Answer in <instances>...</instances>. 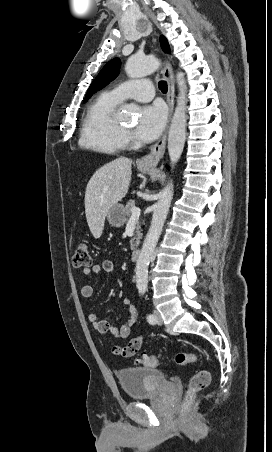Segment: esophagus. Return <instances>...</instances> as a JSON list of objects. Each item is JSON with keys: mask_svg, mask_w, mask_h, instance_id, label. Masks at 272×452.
<instances>
[{"mask_svg": "<svg viewBox=\"0 0 272 452\" xmlns=\"http://www.w3.org/2000/svg\"><path fill=\"white\" fill-rule=\"evenodd\" d=\"M162 73L164 78L167 80L168 84L167 102L169 106V120H170L174 109L175 88L172 67L168 61H165ZM167 131L168 128L165 130V132L163 133L162 137L158 140V142L152 146L150 152L138 161L139 166L149 168L157 166L158 162L163 157L165 152Z\"/></svg>", "mask_w": 272, "mask_h": 452, "instance_id": "esophagus-1", "label": "esophagus"}]
</instances>
